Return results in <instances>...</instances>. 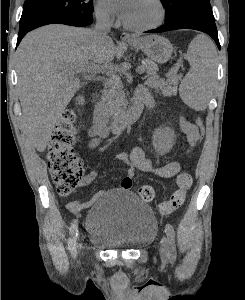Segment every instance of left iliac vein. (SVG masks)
<instances>
[{
  "label": "left iliac vein",
  "instance_id": "4c4485c4",
  "mask_svg": "<svg viewBox=\"0 0 245 300\" xmlns=\"http://www.w3.org/2000/svg\"><path fill=\"white\" fill-rule=\"evenodd\" d=\"M169 244L165 236L161 239L159 254L162 260H166L168 256Z\"/></svg>",
  "mask_w": 245,
  "mask_h": 300
}]
</instances>
